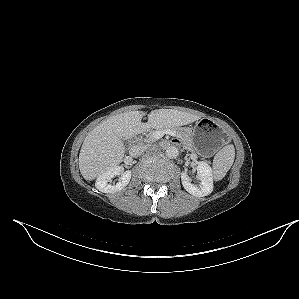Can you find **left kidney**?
Segmentation results:
<instances>
[{
	"mask_svg": "<svg viewBox=\"0 0 299 299\" xmlns=\"http://www.w3.org/2000/svg\"><path fill=\"white\" fill-rule=\"evenodd\" d=\"M197 179L200 183L194 185L186 173L181 174L182 185L188 193L196 197L209 195L213 191V174L211 167L204 161L198 162Z\"/></svg>",
	"mask_w": 299,
	"mask_h": 299,
	"instance_id": "obj_1",
	"label": "left kidney"
}]
</instances>
